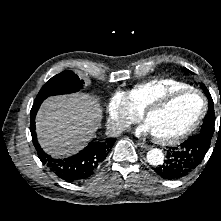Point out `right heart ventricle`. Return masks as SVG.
<instances>
[{"label": "right heart ventricle", "mask_w": 221, "mask_h": 221, "mask_svg": "<svg viewBox=\"0 0 221 221\" xmlns=\"http://www.w3.org/2000/svg\"><path fill=\"white\" fill-rule=\"evenodd\" d=\"M190 87L187 83L173 78H157L134 85L125 92L131 108L141 112L156 99L165 94Z\"/></svg>", "instance_id": "e07e8e85"}]
</instances>
